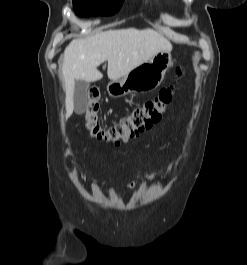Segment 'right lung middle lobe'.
Segmentation results:
<instances>
[{"mask_svg":"<svg viewBox=\"0 0 247 265\" xmlns=\"http://www.w3.org/2000/svg\"><path fill=\"white\" fill-rule=\"evenodd\" d=\"M123 0H73L74 10L79 16L112 15L116 13Z\"/></svg>","mask_w":247,"mask_h":265,"instance_id":"obj_1","label":"right lung middle lobe"}]
</instances>
